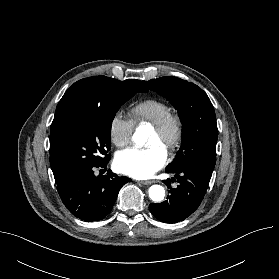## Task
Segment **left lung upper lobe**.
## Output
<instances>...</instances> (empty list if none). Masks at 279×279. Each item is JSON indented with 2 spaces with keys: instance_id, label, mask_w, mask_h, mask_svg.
<instances>
[{
  "instance_id": "left-lung-upper-lobe-1",
  "label": "left lung upper lobe",
  "mask_w": 279,
  "mask_h": 279,
  "mask_svg": "<svg viewBox=\"0 0 279 279\" xmlns=\"http://www.w3.org/2000/svg\"><path fill=\"white\" fill-rule=\"evenodd\" d=\"M167 98L178 110L182 126V146L167 171L195 170L211 177L216 160L218 129L213 105L197 85L177 77L144 81Z\"/></svg>"
}]
</instances>
